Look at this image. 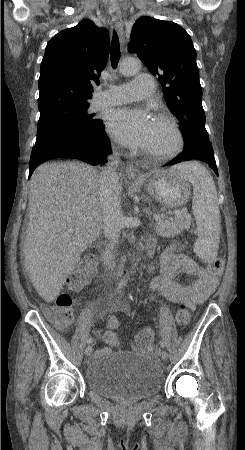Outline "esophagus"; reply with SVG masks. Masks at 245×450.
Instances as JSON below:
<instances>
[{"label":"esophagus","mask_w":245,"mask_h":450,"mask_svg":"<svg viewBox=\"0 0 245 450\" xmlns=\"http://www.w3.org/2000/svg\"><path fill=\"white\" fill-rule=\"evenodd\" d=\"M109 12L114 21V25L118 31L120 41H121V43H123V39H124L123 20H122V15H121L118 5L111 4L109 7ZM125 172L129 179H133V180L138 179L140 176L139 169L132 163L127 164V166L125 168Z\"/></svg>","instance_id":"1"}]
</instances>
